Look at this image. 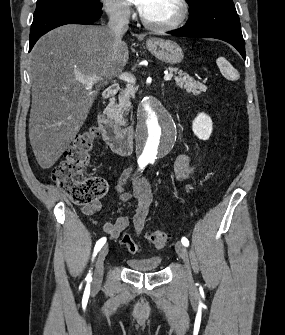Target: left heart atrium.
Returning a JSON list of instances; mask_svg holds the SVG:
<instances>
[{
    "instance_id": "39dd6f15",
    "label": "left heart atrium",
    "mask_w": 285,
    "mask_h": 335,
    "mask_svg": "<svg viewBox=\"0 0 285 335\" xmlns=\"http://www.w3.org/2000/svg\"><path fill=\"white\" fill-rule=\"evenodd\" d=\"M134 3L136 4L140 15L144 17L148 9L149 1H134Z\"/></svg>"
}]
</instances>
